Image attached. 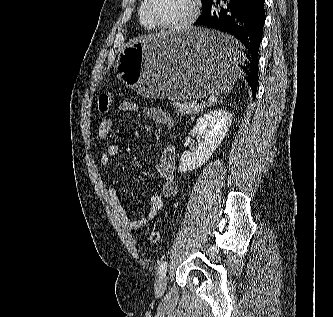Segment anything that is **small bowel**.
Wrapping results in <instances>:
<instances>
[{"mask_svg": "<svg viewBox=\"0 0 333 317\" xmlns=\"http://www.w3.org/2000/svg\"><path fill=\"white\" fill-rule=\"evenodd\" d=\"M122 112H134L138 109L136 103L124 101L119 105ZM144 112L154 122L166 126H173V121L168 113L157 107H146ZM113 127L111 118L103 119L97 129L99 140L105 141L109 137ZM119 154V146L117 144H109L100 157L102 166L108 167L112 158ZM158 175L162 179V187L160 193H152L149 197L148 213L138 219L131 218L123 207L116 189L112 186L108 187V195L111 203L123 223V225L131 230H141L150 225L158 212L163 208L167 198L174 197L178 192V184L175 179V148L173 145H168L162 152L160 160L155 165Z\"/></svg>", "mask_w": 333, "mask_h": 317, "instance_id": "obj_1", "label": "small bowel"}]
</instances>
